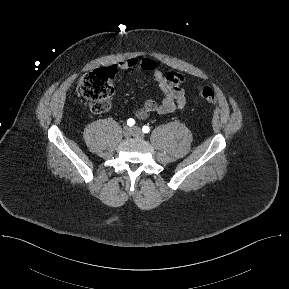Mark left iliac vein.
Masks as SVG:
<instances>
[{"label":"left iliac vein","mask_w":289,"mask_h":289,"mask_svg":"<svg viewBox=\"0 0 289 289\" xmlns=\"http://www.w3.org/2000/svg\"><path fill=\"white\" fill-rule=\"evenodd\" d=\"M132 131H133V134H132L133 136L139 137V138H143L144 137V134H143V132L141 131V129L139 127L134 126L132 128Z\"/></svg>","instance_id":"4c4485c4"}]
</instances>
